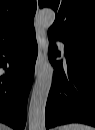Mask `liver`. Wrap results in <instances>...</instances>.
<instances>
[{
    "mask_svg": "<svg viewBox=\"0 0 95 130\" xmlns=\"http://www.w3.org/2000/svg\"><path fill=\"white\" fill-rule=\"evenodd\" d=\"M1 130H10L9 127L5 126V125H1Z\"/></svg>",
    "mask_w": 95,
    "mask_h": 130,
    "instance_id": "6515ba94",
    "label": "liver"
}]
</instances>
